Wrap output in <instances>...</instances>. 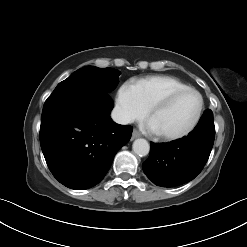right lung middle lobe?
<instances>
[{
  "label": "right lung middle lobe",
  "instance_id": "obj_1",
  "mask_svg": "<svg viewBox=\"0 0 247 247\" xmlns=\"http://www.w3.org/2000/svg\"><path fill=\"white\" fill-rule=\"evenodd\" d=\"M120 72L112 68L83 67L60 82L51 95L72 91L108 93L119 83Z\"/></svg>",
  "mask_w": 247,
  "mask_h": 247
}]
</instances>
